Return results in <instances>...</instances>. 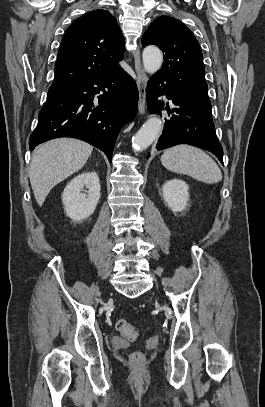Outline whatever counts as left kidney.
I'll list each match as a JSON object with an SVG mask.
<instances>
[{
  "label": "left kidney",
  "instance_id": "1",
  "mask_svg": "<svg viewBox=\"0 0 265 407\" xmlns=\"http://www.w3.org/2000/svg\"><path fill=\"white\" fill-rule=\"evenodd\" d=\"M188 190L189 186L183 180L174 179L165 182L162 187V195L173 212H181L186 209L189 200Z\"/></svg>",
  "mask_w": 265,
  "mask_h": 407
}]
</instances>
